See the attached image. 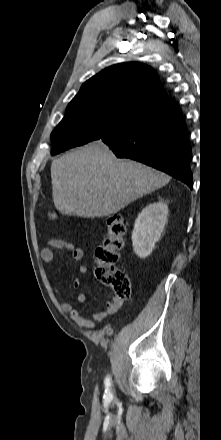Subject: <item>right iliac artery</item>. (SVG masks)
<instances>
[{
  "mask_svg": "<svg viewBox=\"0 0 221 440\" xmlns=\"http://www.w3.org/2000/svg\"><path fill=\"white\" fill-rule=\"evenodd\" d=\"M105 385H106V390H105V393L107 394V395H111V393H110V380H109V378H107L106 380H105Z\"/></svg>",
  "mask_w": 221,
  "mask_h": 440,
  "instance_id": "82829eb1",
  "label": "right iliac artery"
}]
</instances>
